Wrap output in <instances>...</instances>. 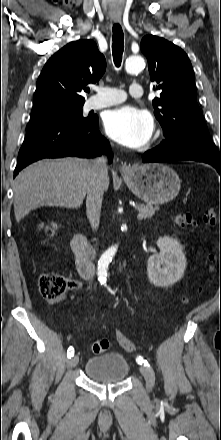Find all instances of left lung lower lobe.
Wrapping results in <instances>:
<instances>
[{"mask_svg": "<svg viewBox=\"0 0 221 440\" xmlns=\"http://www.w3.org/2000/svg\"><path fill=\"white\" fill-rule=\"evenodd\" d=\"M178 160H194L207 163L213 166L221 175V154L214 155L205 151H180L169 147L165 141H162L157 147L145 152L143 155L144 163Z\"/></svg>", "mask_w": 221, "mask_h": 440, "instance_id": "1", "label": "left lung lower lobe"}]
</instances>
